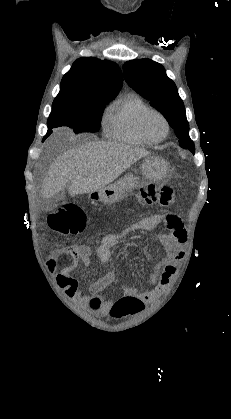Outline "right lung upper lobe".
Segmentation results:
<instances>
[{
	"label": "right lung upper lobe",
	"instance_id": "obj_1",
	"mask_svg": "<svg viewBox=\"0 0 231 419\" xmlns=\"http://www.w3.org/2000/svg\"><path fill=\"white\" fill-rule=\"evenodd\" d=\"M119 66L94 57L77 59L63 76L58 96L75 99H112L121 89Z\"/></svg>",
	"mask_w": 231,
	"mask_h": 419
}]
</instances>
